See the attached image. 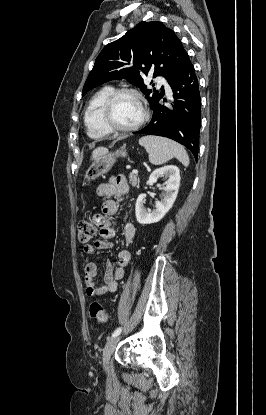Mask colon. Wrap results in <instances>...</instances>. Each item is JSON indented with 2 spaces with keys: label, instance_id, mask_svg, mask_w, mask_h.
I'll list each match as a JSON object with an SVG mask.
<instances>
[{
  "label": "colon",
  "instance_id": "obj_1",
  "mask_svg": "<svg viewBox=\"0 0 266 415\" xmlns=\"http://www.w3.org/2000/svg\"><path fill=\"white\" fill-rule=\"evenodd\" d=\"M97 226L90 220H81L78 224V241L81 244H87L95 237ZM90 317L99 323H105L109 318L107 309L98 301H94L89 307Z\"/></svg>",
  "mask_w": 266,
  "mask_h": 415
}]
</instances>
